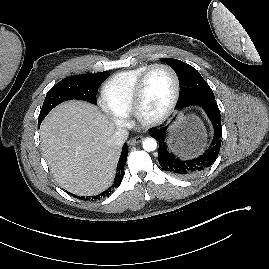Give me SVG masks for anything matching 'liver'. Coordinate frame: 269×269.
<instances>
[{"instance_id":"6515ba94","label":"liver","mask_w":269,"mask_h":269,"mask_svg":"<svg viewBox=\"0 0 269 269\" xmlns=\"http://www.w3.org/2000/svg\"><path fill=\"white\" fill-rule=\"evenodd\" d=\"M115 125L96 106L65 102L40 127L43 156L58 184L77 195H94L113 181L120 146L111 144Z\"/></svg>"}]
</instances>
